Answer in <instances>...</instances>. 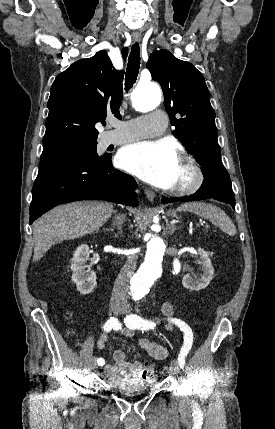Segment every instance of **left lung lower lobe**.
Listing matches in <instances>:
<instances>
[{
    "label": "left lung lower lobe",
    "instance_id": "left-lung-lower-lobe-1",
    "mask_svg": "<svg viewBox=\"0 0 275 429\" xmlns=\"http://www.w3.org/2000/svg\"><path fill=\"white\" fill-rule=\"evenodd\" d=\"M213 198L227 204H230L235 209V198L232 190V184L229 177H224L217 174L206 176L200 189L193 195L181 198L171 199L162 197L163 204L171 203L174 201H195Z\"/></svg>",
    "mask_w": 275,
    "mask_h": 429
}]
</instances>
